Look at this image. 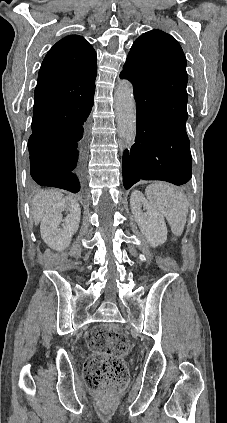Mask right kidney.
I'll use <instances>...</instances> for the list:
<instances>
[{
    "label": "right kidney",
    "instance_id": "ca27d5eb",
    "mask_svg": "<svg viewBox=\"0 0 227 423\" xmlns=\"http://www.w3.org/2000/svg\"><path fill=\"white\" fill-rule=\"evenodd\" d=\"M62 211H69L64 217ZM81 210L78 200L73 196H66L58 204H54L46 211L40 225V233L43 241L57 251L68 247L72 235L76 233L80 223ZM61 221H64L61 225Z\"/></svg>",
    "mask_w": 227,
    "mask_h": 423
}]
</instances>
